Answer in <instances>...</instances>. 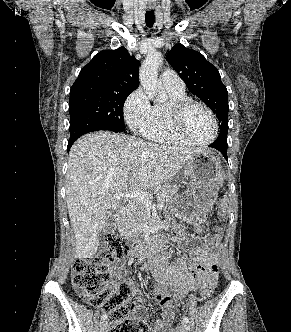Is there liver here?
Returning a JSON list of instances; mask_svg holds the SVG:
<instances>
[{
  "label": "liver",
  "mask_w": 291,
  "mask_h": 332,
  "mask_svg": "<svg viewBox=\"0 0 291 332\" xmlns=\"http://www.w3.org/2000/svg\"><path fill=\"white\" fill-rule=\"evenodd\" d=\"M203 148L164 146L133 136L95 132L79 138L69 153L66 201L76 240V258H93L107 214L124 190L145 191L171 180Z\"/></svg>",
  "instance_id": "obj_1"
}]
</instances>
